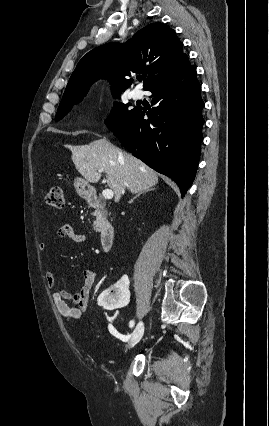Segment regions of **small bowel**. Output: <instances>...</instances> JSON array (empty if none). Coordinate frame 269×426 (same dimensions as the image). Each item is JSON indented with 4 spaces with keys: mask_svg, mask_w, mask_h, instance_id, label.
I'll return each mask as SVG.
<instances>
[{
    "mask_svg": "<svg viewBox=\"0 0 269 426\" xmlns=\"http://www.w3.org/2000/svg\"><path fill=\"white\" fill-rule=\"evenodd\" d=\"M59 238H68L76 243H86L88 237L84 234L77 233L71 224L66 223L61 225L57 230ZM39 250L45 251L46 244L40 243ZM97 276V271L93 268L84 270L83 282L78 291H66L58 289L55 275L49 269L45 272V279L48 286L52 289V299L60 314L68 321L78 320L81 314L88 308L90 293L93 288L94 281ZM131 294V293H130ZM131 297V295H130ZM129 303V302H128ZM116 335L119 333L111 329Z\"/></svg>",
    "mask_w": 269,
    "mask_h": 426,
    "instance_id": "small-bowel-1",
    "label": "small bowel"
}]
</instances>
